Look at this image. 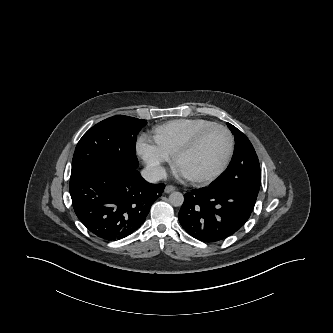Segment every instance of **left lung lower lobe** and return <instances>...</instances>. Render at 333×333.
Segmentation results:
<instances>
[{
	"label": "left lung lower lobe",
	"instance_id": "left-lung-lower-lobe-1",
	"mask_svg": "<svg viewBox=\"0 0 333 333\" xmlns=\"http://www.w3.org/2000/svg\"><path fill=\"white\" fill-rule=\"evenodd\" d=\"M256 199L242 190L211 183L184 195L179 222L187 233L200 241H222L246 223Z\"/></svg>",
	"mask_w": 333,
	"mask_h": 333
}]
</instances>
